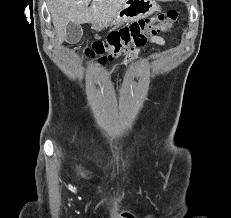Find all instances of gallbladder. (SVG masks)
<instances>
[{
  "label": "gallbladder",
  "mask_w": 231,
  "mask_h": 218,
  "mask_svg": "<svg viewBox=\"0 0 231 218\" xmlns=\"http://www.w3.org/2000/svg\"><path fill=\"white\" fill-rule=\"evenodd\" d=\"M66 33V41L70 44H76L82 38L83 29L80 25L69 22Z\"/></svg>",
  "instance_id": "obj_1"
}]
</instances>
